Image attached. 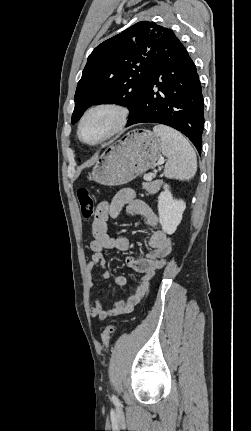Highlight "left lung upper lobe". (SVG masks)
I'll use <instances>...</instances> for the list:
<instances>
[{
    "mask_svg": "<svg viewBox=\"0 0 251 431\" xmlns=\"http://www.w3.org/2000/svg\"><path fill=\"white\" fill-rule=\"evenodd\" d=\"M173 34L154 22L141 21L98 45L78 82L72 123L93 104H121L131 115L142 96L156 51Z\"/></svg>",
    "mask_w": 251,
    "mask_h": 431,
    "instance_id": "left-lung-upper-lobe-1",
    "label": "left lung upper lobe"
}]
</instances>
